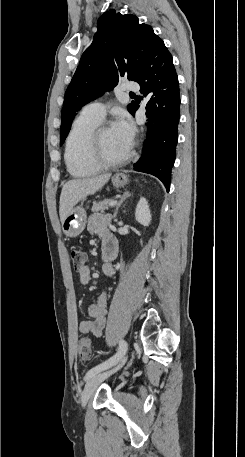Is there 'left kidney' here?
Returning <instances> with one entry per match:
<instances>
[{
    "mask_svg": "<svg viewBox=\"0 0 245 457\" xmlns=\"http://www.w3.org/2000/svg\"><path fill=\"white\" fill-rule=\"evenodd\" d=\"M135 218L144 226H149L150 220H152L149 204L144 196H140L135 210Z\"/></svg>",
    "mask_w": 245,
    "mask_h": 457,
    "instance_id": "5707ae66",
    "label": "left kidney"
}]
</instances>
